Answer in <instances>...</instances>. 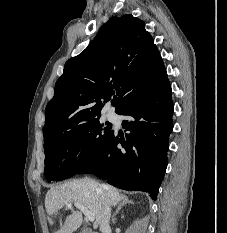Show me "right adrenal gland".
Instances as JSON below:
<instances>
[{
  "instance_id": "2a0ac1e0",
  "label": "right adrenal gland",
  "mask_w": 227,
  "mask_h": 233,
  "mask_svg": "<svg viewBox=\"0 0 227 233\" xmlns=\"http://www.w3.org/2000/svg\"><path fill=\"white\" fill-rule=\"evenodd\" d=\"M126 204H133L132 200H128L127 198H124L122 203L117 207L115 213L112 216V222H115V216L119 213V211L123 208V206H125Z\"/></svg>"
}]
</instances>
